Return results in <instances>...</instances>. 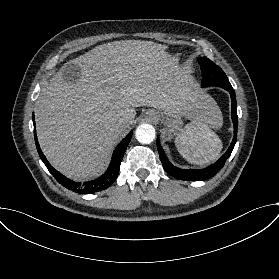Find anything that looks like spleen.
I'll list each match as a JSON object with an SVG mask.
<instances>
[{"instance_id":"spleen-1","label":"spleen","mask_w":279,"mask_h":279,"mask_svg":"<svg viewBox=\"0 0 279 279\" xmlns=\"http://www.w3.org/2000/svg\"><path fill=\"white\" fill-rule=\"evenodd\" d=\"M205 109L201 118L186 126L185 132L175 139L179 153L190 163L204 165L216 160L223 148L218 135L212 128H220L223 124L221 110L215 100L207 94H201ZM210 124L211 126H209Z\"/></svg>"}]
</instances>
